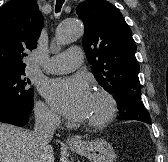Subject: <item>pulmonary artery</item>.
I'll use <instances>...</instances> for the list:
<instances>
[{
  "label": "pulmonary artery",
  "mask_w": 168,
  "mask_h": 162,
  "mask_svg": "<svg viewBox=\"0 0 168 162\" xmlns=\"http://www.w3.org/2000/svg\"><path fill=\"white\" fill-rule=\"evenodd\" d=\"M83 62V51L80 47L70 49L51 57L44 68L49 73L63 74L78 68Z\"/></svg>",
  "instance_id": "e3ab8cb5"
}]
</instances>
